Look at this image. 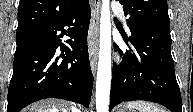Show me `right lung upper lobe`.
<instances>
[{"label":"right lung upper lobe","instance_id":"1","mask_svg":"<svg viewBox=\"0 0 193 112\" xmlns=\"http://www.w3.org/2000/svg\"><path fill=\"white\" fill-rule=\"evenodd\" d=\"M86 0H20L16 32L36 30L77 9Z\"/></svg>","mask_w":193,"mask_h":112}]
</instances>
